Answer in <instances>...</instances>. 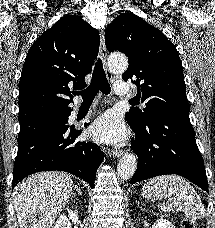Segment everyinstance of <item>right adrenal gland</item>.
I'll list each match as a JSON object with an SVG mask.
<instances>
[{
	"instance_id": "1",
	"label": "right adrenal gland",
	"mask_w": 215,
	"mask_h": 228,
	"mask_svg": "<svg viewBox=\"0 0 215 228\" xmlns=\"http://www.w3.org/2000/svg\"><path fill=\"white\" fill-rule=\"evenodd\" d=\"M74 188H75L76 192H78L79 196H83L79 186H74Z\"/></svg>"
}]
</instances>
